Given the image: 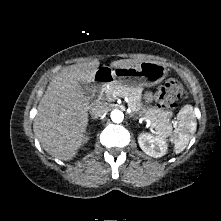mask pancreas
Listing matches in <instances>:
<instances>
[{
    "instance_id": "pancreas-1",
    "label": "pancreas",
    "mask_w": 221,
    "mask_h": 221,
    "mask_svg": "<svg viewBox=\"0 0 221 221\" xmlns=\"http://www.w3.org/2000/svg\"><path fill=\"white\" fill-rule=\"evenodd\" d=\"M104 93L107 101H113L116 96L127 97L128 106L133 112L144 114L151 121V126L156 128L160 134L169 135L171 133L172 125L169 122V113L160 109H145L141 103L142 90L140 88H128L114 82L105 89Z\"/></svg>"
}]
</instances>
